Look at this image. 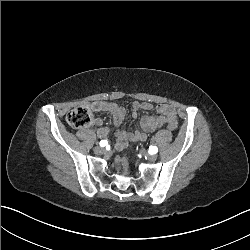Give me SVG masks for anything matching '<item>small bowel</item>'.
<instances>
[{"instance_id":"obj_1","label":"small bowel","mask_w":250,"mask_h":250,"mask_svg":"<svg viewBox=\"0 0 250 250\" xmlns=\"http://www.w3.org/2000/svg\"><path fill=\"white\" fill-rule=\"evenodd\" d=\"M85 107L93 111L109 113L113 118V129L115 131V147L119 150L124 149L128 141L145 140L148 133L153 132L157 128L164 126L167 118H173L178 122L175 109L169 104H159L154 109L155 115H145L139 119V127L133 131H125L120 129L126 111L123 107L105 101H95L85 104ZM143 108L150 110L153 108L151 104H139L137 102L132 105V116L137 117L139 110ZM93 125L97 128V135L100 139L108 138L111 128L103 126L102 120L97 118L93 120Z\"/></svg>"}]
</instances>
